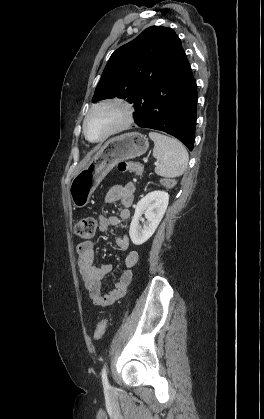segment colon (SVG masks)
<instances>
[{
  "mask_svg": "<svg viewBox=\"0 0 264 419\" xmlns=\"http://www.w3.org/2000/svg\"><path fill=\"white\" fill-rule=\"evenodd\" d=\"M118 170L121 172H128L136 175H141L143 173V166L137 161L127 160L122 161L118 164ZM162 185L164 187L170 188L174 185V180L172 179H163ZM97 220L94 217H82L75 224L76 234L83 239H91L96 230ZM106 320H101L95 329L94 339L100 340L106 330Z\"/></svg>",
  "mask_w": 264,
  "mask_h": 419,
  "instance_id": "obj_1",
  "label": "colon"
}]
</instances>
